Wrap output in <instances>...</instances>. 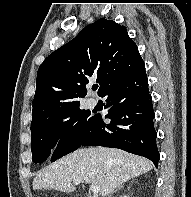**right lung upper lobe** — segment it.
<instances>
[{"mask_svg": "<svg viewBox=\"0 0 191 197\" xmlns=\"http://www.w3.org/2000/svg\"><path fill=\"white\" fill-rule=\"evenodd\" d=\"M144 62L124 26L101 18L51 53L40 65L31 128L80 104L86 84L97 76L101 93Z\"/></svg>", "mask_w": 191, "mask_h": 197, "instance_id": "1", "label": "right lung upper lobe"}]
</instances>
